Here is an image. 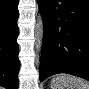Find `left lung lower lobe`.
<instances>
[{"label":"left lung lower lobe","instance_id":"left-lung-lower-lobe-1","mask_svg":"<svg viewBox=\"0 0 89 89\" xmlns=\"http://www.w3.org/2000/svg\"><path fill=\"white\" fill-rule=\"evenodd\" d=\"M43 18L40 81L68 73L89 80V0H38Z\"/></svg>","mask_w":89,"mask_h":89}]
</instances>
